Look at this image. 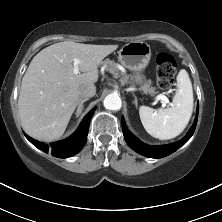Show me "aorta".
<instances>
[{
    "instance_id": "obj_1",
    "label": "aorta",
    "mask_w": 222,
    "mask_h": 222,
    "mask_svg": "<svg viewBox=\"0 0 222 222\" xmlns=\"http://www.w3.org/2000/svg\"><path fill=\"white\" fill-rule=\"evenodd\" d=\"M104 107L108 110L117 111L121 108L122 102L118 94H108L104 99Z\"/></svg>"
}]
</instances>
